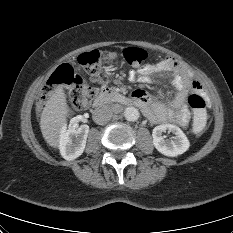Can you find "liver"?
<instances>
[{
  "label": "liver",
  "instance_id": "1",
  "mask_svg": "<svg viewBox=\"0 0 233 233\" xmlns=\"http://www.w3.org/2000/svg\"><path fill=\"white\" fill-rule=\"evenodd\" d=\"M69 111L66 94L60 86L47 101L41 115V132L49 146H59L61 128L66 123Z\"/></svg>",
  "mask_w": 233,
  "mask_h": 233
}]
</instances>
